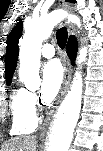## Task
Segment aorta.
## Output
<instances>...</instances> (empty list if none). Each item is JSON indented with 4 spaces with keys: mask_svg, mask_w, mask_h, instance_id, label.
I'll list each match as a JSON object with an SVG mask.
<instances>
[{
    "mask_svg": "<svg viewBox=\"0 0 103 151\" xmlns=\"http://www.w3.org/2000/svg\"><path fill=\"white\" fill-rule=\"evenodd\" d=\"M65 17L81 26L77 16L69 15L63 10H54L46 16L26 22L25 33L19 43V75L22 81L38 74L42 42L51 35L53 28ZM86 56L87 48L83 47L79 51L78 63L85 61ZM81 103L82 77L79 72H76L71 89L58 109L46 151L69 150L74 128L79 119Z\"/></svg>",
    "mask_w": 103,
    "mask_h": 151,
    "instance_id": "1",
    "label": "aorta"
}]
</instances>
